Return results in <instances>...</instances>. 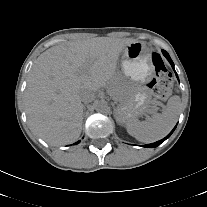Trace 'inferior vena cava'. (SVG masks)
Masks as SVG:
<instances>
[{
  "mask_svg": "<svg viewBox=\"0 0 207 207\" xmlns=\"http://www.w3.org/2000/svg\"><path fill=\"white\" fill-rule=\"evenodd\" d=\"M95 98V93L90 90H82L80 92V99L84 103L92 102Z\"/></svg>",
  "mask_w": 207,
  "mask_h": 207,
  "instance_id": "1",
  "label": "inferior vena cava"
}]
</instances>
